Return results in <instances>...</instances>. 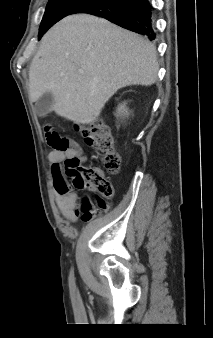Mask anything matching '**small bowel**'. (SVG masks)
Returning <instances> with one entry per match:
<instances>
[{"label": "small bowel", "mask_w": 213, "mask_h": 338, "mask_svg": "<svg viewBox=\"0 0 213 338\" xmlns=\"http://www.w3.org/2000/svg\"><path fill=\"white\" fill-rule=\"evenodd\" d=\"M46 141L50 151L48 152V159L51 162H59L66 158L77 157L84 160L80 146L73 140H69L70 146L66 151H60L57 146L62 137L54 130L51 124L45 126ZM55 203L62 213V215L73 220L79 213L84 214L85 209L91 205V202L86 197H79L77 194L69 190H58L55 193Z\"/></svg>", "instance_id": "c3829d8e"}]
</instances>
